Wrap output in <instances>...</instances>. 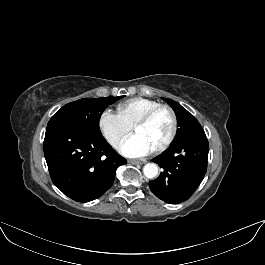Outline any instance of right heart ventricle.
<instances>
[{
	"mask_svg": "<svg viewBox=\"0 0 265 265\" xmlns=\"http://www.w3.org/2000/svg\"><path fill=\"white\" fill-rule=\"evenodd\" d=\"M159 105V102L152 99L142 97L132 98L117 106V114L126 124L132 127L143 114Z\"/></svg>",
	"mask_w": 265,
	"mask_h": 265,
	"instance_id": "1",
	"label": "right heart ventricle"
}]
</instances>
